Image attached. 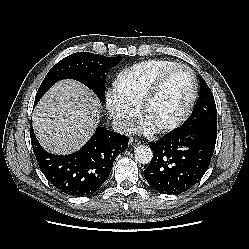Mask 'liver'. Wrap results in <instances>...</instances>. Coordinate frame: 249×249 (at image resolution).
I'll return each mask as SVG.
<instances>
[{"label":"liver","instance_id":"liver-1","mask_svg":"<svg viewBox=\"0 0 249 249\" xmlns=\"http://www.w3.org/2000/svg\"><path fill=\"white\" fill-rule=\"evenodd\" d=\"M97 105L92 93L77 81L56 83L33 113V127L40 144L57 154L78 150L98 125Z\"/></svg>","mask_w":249,"mask_h":249}]
</instances>
